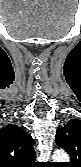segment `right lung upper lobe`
<instances>
[{"mask_svg":"<svg viewBox=\"0 0 81 167\" xmlns=\"http://www.w3.org/2000/svg\"><path fill=\"white\" fill-rule=\"evenodd\" d=\"M35 141L26 131L9 124L0 129V167H35Z\"/></svg>","mask_w":81,"mask_h":167,"instance_id":"cb5924a9","label":"right lung upper lobe"}]
</instances>
